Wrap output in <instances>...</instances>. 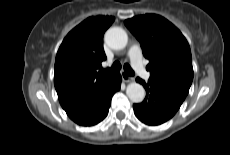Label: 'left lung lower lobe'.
Here are the masks:
<instances>
[{
	"mask_svg": "<svg viewBox=\"0 0 230 155\" xmlns=\"http://www.w3.org/2000/svg\"><path fill=\"white\" fill-rule=\"evenodd\" d=\"M136 81L144 86L146 97L142 103L134 104L133 109L136 117L147 125L166 122L175 115L184 101L150 80L145 83L137 78Z\"/></svg>",
	"mask_w": 230,
	"mask_h": 155,
	"instance_id": "1",
	"label": "left lung lower lobe"
}]
</instances>
